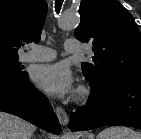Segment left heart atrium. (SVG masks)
Segmentation results:
<instances>
[{
  "label": "left heart atrium",
  "mask_w": 141,
  "mask_h": 139,
  "mask_svg": "<svg viewBox=\"0 0 141 139\" xmlns=\"http://www.w3.org/2000/svg\"><path fill=\"white\" fill-rule=\"evenodd\" d=\"M32 79L51 96L65 97L73 91V75L64 63L39 66L34 70Z\"/></svg>",
  "instance_id": "left-heart-atrium-1"
}]
</instances>
